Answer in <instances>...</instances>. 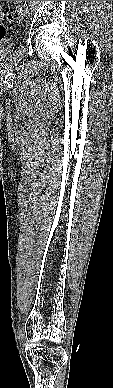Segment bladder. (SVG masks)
I'll use <instances>...</instances> for the list:
<instances>
[{"label": "bladder", "instance_id": "1", "mask_svg": "<svg viewBox=\"0 0 113 388\" xmlns=\"http://www.w3.org/2000/svg\"><path fill=\"white\" fill-rule=\"evenodd\" d=\"M12 51L11 44H0V60L8 56Z\"/></svg>", "mask_w": 113, "mask_h": 388}]
</instances>
